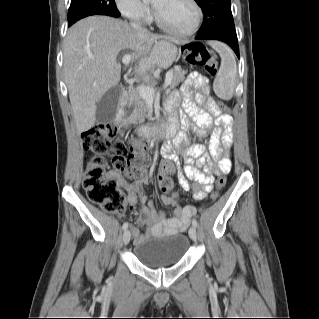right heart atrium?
I'll use <instances>...</instances> for the list:
<instances>
[{
    "label": "right heart atrium",
    "mask_w": 319,
    "mask_h": 319,
    "mask_svg": "<svg viewBox=\"0 0 319 319\" xmlns=\"http://www.w3.org/2000/svg\"><path fill=\"white\" fill-rule=\"evenodd\" d=\"M115 2L120 12L128 18L146 21L150 17V8L142 0H115Z\"/></svg>",
    "instance_id": "obj_1"
}]
</instances>
